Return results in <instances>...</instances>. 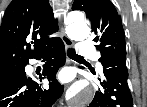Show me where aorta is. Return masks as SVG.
<instances>
[{"label":"aorta","instance_id":"1","mask_svg":"<svg viewBox=\"0 0 147 107\" xmlns=\"http://www.w3.org/2000/svg\"><path fill=\"white\" fill-rule=\"evenodd\" d=\"M67 35L73 40H84L90 36V28L83 20L74 18L66 26ZM94 87L86 81H79L69 90L71 102L75 107H84L90 103L94 95Z\"/></svg>","mask_w":147,"mask_h":107}]
</instances>
